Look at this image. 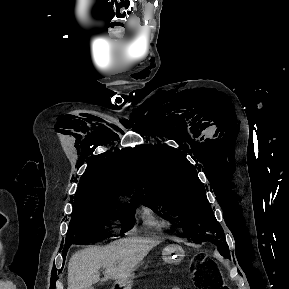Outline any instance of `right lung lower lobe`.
<instances>
[{"label":"right lung lower lobe","mask_w":289,"mask_h":289,"mask_svg":"<svg viewBox=\"0 0 289 289\" xmlns=\"http://www.w3.org/2000/svg\"><path fill=\"white\" fill-rule=\"evenodd\" d=\"M67 251V250H66ZM66 251L64 250V252H63V257L65 258V256H66Z\"/></svg>","instance_id":"1"}]
</instances>
